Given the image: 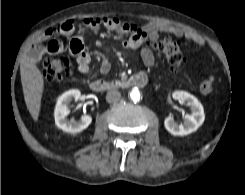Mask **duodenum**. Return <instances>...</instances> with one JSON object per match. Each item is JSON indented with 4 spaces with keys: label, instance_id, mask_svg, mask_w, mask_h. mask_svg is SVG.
I'll use <instances>...</instances> for the list:
<instances>
[{
    "label": "duodenum",
    "instance_id": "1",
    "mask_svg": "<svg viewBox=\"0 0 245 195\" xmlns=\"http://www.w3.org/2000/svg\"><path fill=\"white\" fill-rule=\"evenodd\" d=\"M147 82H148V78L146 74L143 72H139L132 75L128 79L116 84L104 80H95L91 82L90 88L94 92H105V91L120 89V88H131V87L142 88L147 85Z\"/></svg>",
    "mask_w": 245,
    "mask_h": 195
}]
</instances>
